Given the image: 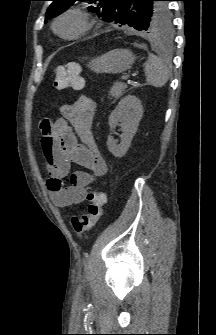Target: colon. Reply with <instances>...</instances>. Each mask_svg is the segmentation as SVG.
Listing matches in <instances>:
<instances>
[{
	"label": "colon",
	"mask_w": 216,
	"mask_h": 335,
	"mask_svg": "<svg viewBox=\"0 0 216 335\" xmlns=\"http://www.w3.org/2000/svg\"><path fill=\"white\" fill-rule=\"evenodd\" d=\"M84 79L81 76V66L77 62H69L59 65L54 70L53 87L58 90L68 88L79 89L83 86ZM89 202L87 212L82 215H75L71 218V225L78 234L93 230L103 217L104 194L96 189L87 192Z\"/></svg>",
	"instance_id": "1"
}]
</instances>
